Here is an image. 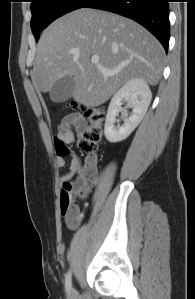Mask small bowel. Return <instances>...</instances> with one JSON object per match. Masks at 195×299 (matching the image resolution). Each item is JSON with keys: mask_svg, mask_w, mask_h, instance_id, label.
<instances>
[{"mask_svg": "<svg viewBox=\"0 0 195 299\" xmlns=\"http://www.w3.org/2000/svg\"><path fill=\"white\" fill-rule=\"evenodd\" d=\"M85 129L86 121L80 114H71L65 117L59 125V136L55 142L57 165L59 167L65 166V158L70 157L69 170L60 176V183L64 188L63 192L69 190L67 184L73 182L72 179L80 167V160L70 145L75 141L76 137L80 139L83 136ZM82 220L83 214L81 212L75 218L64 216V221L70 229L77 228Z\"/></svg>", "mask_w": 195, "mask_h": 299, "instance_id": "small-bowel-1", "label": "small bowel"}]
</instances>
